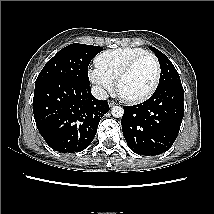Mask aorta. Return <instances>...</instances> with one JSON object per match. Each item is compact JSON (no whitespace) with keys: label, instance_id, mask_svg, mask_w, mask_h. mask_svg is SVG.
I'll list each match as a JSON object with an SVG mask.
<instances>
[{"label":"aorta","instance_id":"aorta-1","mask_svg":"<svg viewBox=\"0 0 214 214\" xmlns=\"http://www.w3.org/2000/svg\"><path fill=\"white\" fill-rule=\"evenodd\" d=\"M111 113L114 117L120 118L124 114V110L121 106H113L111 109Z\"/></svg>","mask_w":214,"mask_h":214}]
</instances>
